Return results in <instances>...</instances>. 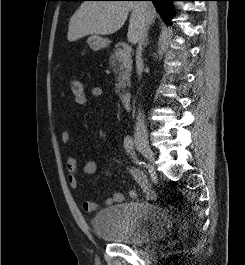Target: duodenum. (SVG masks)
<instances>
[{
	"label": "duodenum",
	"instance_id": "410a0bca",
	"mask_svg": "<svg viewBox=\"0 0 245 265\" xmlns=\"http://www.w3.org/2000/svg\"><path fill=\"white\" fill-rule=\"evenodd\" d=\"M122 103L123 106L126 109H130L131 108V104H132V94L128 91H125L122 93Z\"/></svg>",
	"mask_w": 245,
	"mask_h": 265
}]
</instances>
